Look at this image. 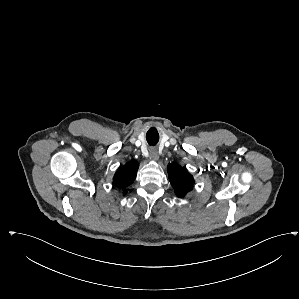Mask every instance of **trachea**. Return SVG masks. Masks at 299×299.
I'll use <instances>...</instances> for the list:
<instances>
[{"instance_id": "3493384b", "label": "trachea", "mask_w": 299, "mask_h": 299, "mask_svg": "<svg viewBox=\"0 0 299 299\" xmlns=\"http://www.w3.org/2000/svg\"><path fill=\"white\" fill-rule=\"evenodd\" d=\"M148 143H149L150 145H155L157 142H156L155 140H149V139H148Z\"/></svg>"}]
</instances>
